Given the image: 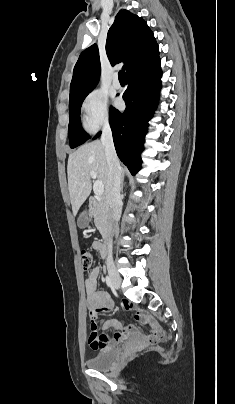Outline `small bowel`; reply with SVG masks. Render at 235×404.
I'll return each instance as SVG.
<instances>
[{"label": "small bowel", "instance_id": "1", "mask_svg": "<svg viewBox=\"0 0 235 404\" xmlns=\"http://www.w3.org/2000/svg\"><path fill=\"white\" fill-rule=\"evenodd\" d=\"M93 248L103 253V245L100 241H95L93 243ZM100 275V269L98 267L94 268L85 280V290L87 294V306L90 311V315L97 316L100 312H108L113 309V301L109 293L101 291L98 289V278ZM122 307L126 311H134L137 320L145 319L144 313L135 309L128 301L122 303ZM104 329L114 328L116 332L112 338H109L105 334H92L90 332L89 340L90 345L93 349L99 350L103 347H110L123 342L129 333V328L124 327L122 324L116 321H107L103 325Z\"/></svg>", "mask_w": 235, "mask_h": 404}]
</instances>
